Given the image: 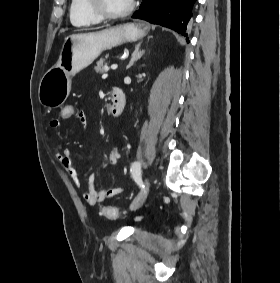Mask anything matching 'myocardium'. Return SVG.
I'll list each match as a JSON object with an SVG mask.
<instances>
[{"label":"myocardium","mask_w":280,"mask_h":283,"mask_svg":"<svg viewBox=\"0 0 280 283\" xmlns=\"http://www.w3.org/2000/svg\"><path fill=\"white\" fill-rule=\"evenodd\" d=\"M89 9L102 20H116L127 17L135 7V0H131L129 7L120 13H110L103 5L102 0H87Z\"/></svg>","instance_id":"myocardium-1"}]
</instances>
